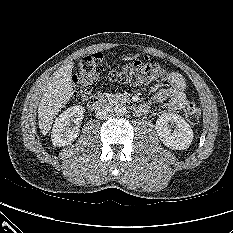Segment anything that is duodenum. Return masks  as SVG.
Here are the masks:
<instances>
[{
  "instance_id": "duodenum-1",
  "label": "duodenum",
  "mask_w": 233,
  "mask_h": 233,
  "mask_svg": "<svg viewBox=\"0 0 233 233\" xmlns=\"http://www.w3.org/2000/svg\"><path fill=\"white\" fill-rule=\"evenodd\" d=\"M106 103H112L115 105L125 106V107H128L134 110L136 113L146 112V109L143 106L137 105L134 102L128 99H125V98H121V97L103 98L99 96H93L88 101V108L91 110H98L102 108Z\"/></svg>"
}]
</instances>
